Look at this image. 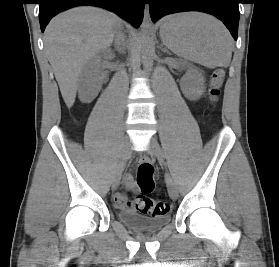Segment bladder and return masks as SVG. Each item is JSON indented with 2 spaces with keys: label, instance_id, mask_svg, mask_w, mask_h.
Instances as JSON below:
<instances>
[{
  "label": "bladder",
  "instance_id": "31cf9c89",
  "mask_svg": "<svg viewBox=\"0 0 279 267\" xmlns=\"http://www.w3.org/2000/svg\"><path fill=\"white\" fill-rule=\"evenodd\" d=\"M118 219L129 228L137 231L154 232L165 226L170 217L168 214L149 217L135 211L127 210L118 213Z\"/></svg>",
  "mask_w": 279,
  "mask_h": 267
}]
</instances>
